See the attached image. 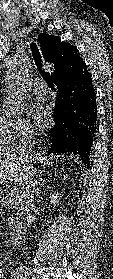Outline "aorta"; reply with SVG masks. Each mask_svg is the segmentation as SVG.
I'll use <instances>...</instances> for the list:
<instances>
[{"instance_id": "762f6f07", "label": "aorta", "mask_w": 113, "mask_h": 279, "mask_svg": "<svg viewBox=\"0 0 113 279\" xmlns=\"http://www.w3.org/2000/svg\"><path fill=\"white\" fill-rule=\"evenodd\" d=\"M22 107V99L19 97H11V99L8 100L7 108L11 113H19Z\"/></svg>"}]
</instances>
